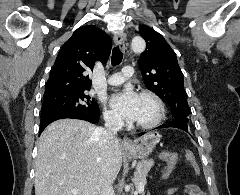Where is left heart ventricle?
<instances>
[{
  "instance_id": "left-heart-ventricle-1",
  "label": "left heart ventricle",
  "mask_w": 240,
  "mask_h": 195,
  "mask_svg": "<svg viewBox=\"0 0 240 195\" xmlns=\"http://www.w3.org/2000/svg\"><path fill=\"white\" fill-rule=\"evenodd\" d=\"M156 113L154 102L147 97H140L135 123H146L153 119Z\"/></svg>"
}]
</instances>
